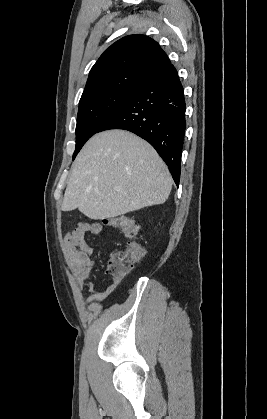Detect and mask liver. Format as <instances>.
<instances>
[{"label": "liver", "instance_id": "1", "mask_svg": "<svg viewBox=\"0 0 267 419\" xmlns=\"http://www.w3.org/2000/svg\"><path fill=\"white\" fill-rule=\"evenodd\" d=\"M170 172L155 149L125 130L94 135L78 154L61 209H78L93 220L114 218L163 204Z\"/></svg>", "mask_w": 267, "mask_h": 419}]
</instances>
